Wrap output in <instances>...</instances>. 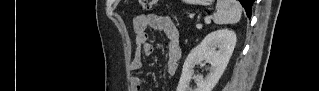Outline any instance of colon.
Instances as JSON below:
<instances>
[{"mask_svg":"<svg viewBox=\"0 0 319 91\" xmlns=\"http://www.w3.org/2000/svg\"><path fill=\"white\" fill-rule=\"evenodd\" d=\"M159 1L157 0H143L142 1V5L144 8L149 9L151 7H153L154 5H156Z\"/></svg>","mask_w":319,"mask_h":91,"instance_id":"1","label":"colon"}]
</instances>
